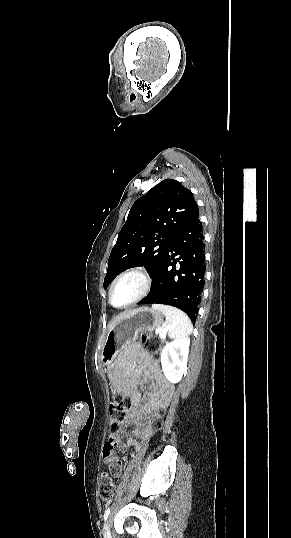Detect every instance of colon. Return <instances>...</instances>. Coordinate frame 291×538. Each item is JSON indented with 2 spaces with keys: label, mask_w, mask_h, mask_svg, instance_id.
I'll use <instances>...</instances> for the list:
<instances>
[{
  "label": "colon",
  "mask_w": 291,
  "mask_h": 538,
  "mask_svg": "<svg viewBox=\"0 0 291 538\" xmlns=\"http://www.w3.org/2000/svg\"><path fill=\"white\" fill-rule=\"evenodd\" d=\"M140 340L145 351L151 354L154 358L159 357L162 347L156 336L150 332H144L141 334ZM130 408L131 401L127 397L119 393L113 394L109 403V411L111 415L110 425L113 430H119L121 428ZM164 415L165 411L163 409L157 411L152 419L154 428L159 429L162 426V418ZM103 458L108 465H114L116 462L114 446L110 442H106L104 445ZM98 487L99 495L102 498H110L115 493V483L112 476L108 473H103L100 476Z\"/></svg>",
  "instance_id": "obj_1"
}]
</instances>
